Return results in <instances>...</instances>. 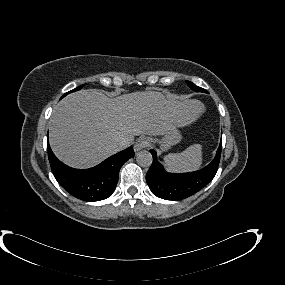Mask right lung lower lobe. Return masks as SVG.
<instances>
[{
	"label": "right lung lower lobe",
	"instance_id": "98d812e1",
	"mask_svg": "<svg viewBox=\"0 0 285 285\" xmlns=\"http://www.w3.org/2000/svg\"><path fill=\"white\" fill-rule=\"evenodd\" d=\"M52 172L58 183L71 195L83 201H99L114 192L121 166L132 156V147L123 150L90 169H74L59 161L47 143Z\"/></svg>",
	"mask_w": 285,
	"mask_h": 285
}]
</instances>
